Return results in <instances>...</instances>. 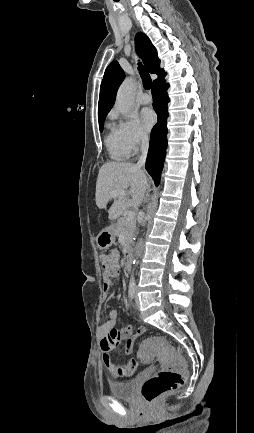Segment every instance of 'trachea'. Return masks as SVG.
<instances>
[{"label": "trachea", "instance_id": "trachea-1", "mask_svg": "<svg viewBox=\"0 0 254 433\" xmlns=\"http://www.w3.org/2000/svg\"><path fill=\"white\" fill-rule=\"evenodd\" d=\"M138 70H139V74L141 76L144 87L146 89H150L151 84H152L150 74L148 73V71L145 69V67L141 63H138Z\"/></svg>", "mask_w": 254, "mask_h": 433}]
</instances>
